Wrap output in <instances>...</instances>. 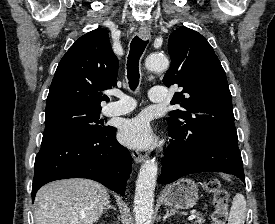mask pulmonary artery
<instances>
[{"label":"pulmonary artery","instance_id":"obj_1","mask_svg":"<svg viewBox=\"0 0 275 224\" xmlns=\"http://www.w3.org/2000/svg\"><path fill=\"white\" fill-rule=\"evenodd\" d=\"M167 90L164 87H154L149 91V98L152 102H161L166 98ZM135 107L133 98L127 95H120L119 100L109 103L105 107L104 113L107 116H116L126 114L132 111Z\"/></svg>","mask_w":275,"mask_h":224}]
</instances>
